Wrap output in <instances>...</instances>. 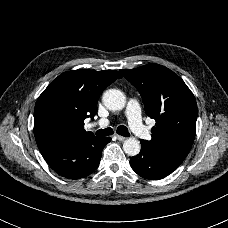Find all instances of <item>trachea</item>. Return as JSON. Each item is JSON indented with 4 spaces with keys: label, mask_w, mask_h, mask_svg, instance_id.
I'll return each instance as SVG.
<instances>
[{
    "label": "trachea",
    "mask_w": 228,
    "mask_h": 228,
    "mask_svg": "<svg viewBox=\"0 0 228 228\" xmlns=\"http://www.w3.org/2000/svg\"><path fill=\"white\" fill-rule=\"evenodd\" d=\"M113 133L114 132H113L112 128H105V129H100V130L96 131L97 136H109V135H112ZM117 133L121 136H124V137L130 136L128 128L126 126H123V125H121L117 128Z\"/></svg>",
    "instance_id": "trachea-1"
}]
</instances>
